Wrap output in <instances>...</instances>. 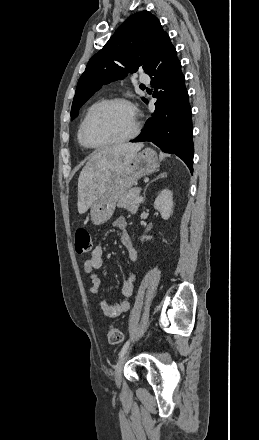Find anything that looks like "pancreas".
Masks as SVG:
<instances>
[{
  "label": "pancreas",
  "mask_w": 259,
  "mask_h": 440,
  "mask_svg": "<svg viewBox=\"0 0 259 440\" xmlns=\"http://www.w3.org/2000/svg\"><path fill=\"white\" fill-rule=\"evenodd\" d=\"M141 189L140 188H132L127 193H125L117 203L118 208H124L135 214L138 210L139 203H136V198L139 197Z\"/></svg>",
  "instance_id": "1"
}]
</instances>
